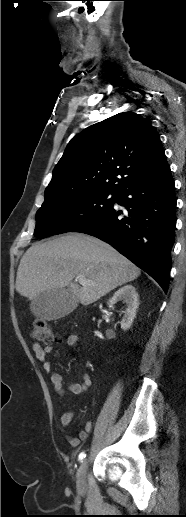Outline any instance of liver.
<instances>
[{
  "label": "liver",
  "instance_id": "1",
  "mask_svg": "<svg viewBox=\"0 0 186 517\" xmlns=\"http://www.w3.org/2000/svg\"><path fill=\"white\" fill-rule=\"evenodd\" d=\"M140 269L109 244L84 234H67L33 244L23 255L16 290L29 300L48 290H65L83 305L94 303L111 290L133 281ZM84 277L88 284L72 283Z\"/></svg>",
  "mask_w": 186,
  "mask_h": 517
}]
</instances>
